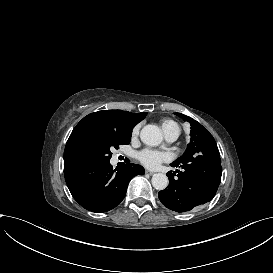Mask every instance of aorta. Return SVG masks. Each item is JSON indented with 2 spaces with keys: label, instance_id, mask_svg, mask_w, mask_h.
<instances>
[{
  "label": "aorta",
  "instance_id": "1",
  "mask_svg": "<svg viewBox=\"0 0 273 273\" xmlns=\"http://www.w3.org/2000/svg\"><path fill=\"white\" fill-rule=\"evenodd\" d=\"M141 141L147 146H157L162 140L163 136L160 130L154 125H146L140 132ZM152 185L157 190H164L168 186V177L163 173H156L152 176Z\"/></svg>",
  "mask_w": 273,
  "mask_h": 273
}]
</instances>
